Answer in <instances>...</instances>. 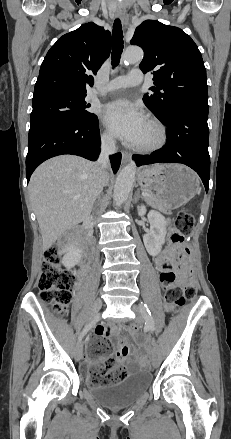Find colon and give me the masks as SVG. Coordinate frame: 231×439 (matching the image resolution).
Wrapping results in <instances>:
<instances>
[{
    "label": "colon",
    "instance_id": "colon-1",
    "mask_svg": "<svg viewBox=\"0 0 231 439\" xmlns=\"http://www.w3.org/2000/svg\"><path fill=\"white\" fill-rule=\"evenodd\" d=\"M193 222V216L189 212L184 210L178 212L174 218L175 231L171 234V243L182 246L185 240L184 234L191 230ZM187 257V250H180L175 262L180 272L177 274L170 265H166L160 274L165 289V304L171 312H177L186 299H194L197 296L196 286L188 281L185 273ZM74 283V275L62 267L58 248L47 249L38 279L39 300L44 304H51L54 311L61 315L71 301ZM128 331L135 335L137 327L130 326ZM90 352L93 356H107L111 352V347L102 338L93 337L90 340ZM90 370L89 383L98 386L120 383L127 376V371L120 366H111L108 370H104L103 366Z\"/></svg>",
    "mask_w": 231,
    "mask_h": 439
}]
</instances>
